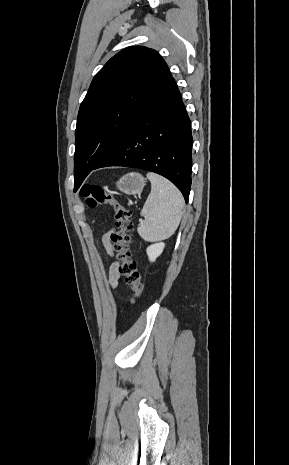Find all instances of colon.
Segmentation results:
<instances>
[{"label":"colon","mask_w":289,"mask_h":465,"mask_svg":"<svg viewBox=\"0 0 289 465\" xmlns=\"http://www.w3.org/2000/svg\"><path fill=\"white\" fill-rule=\"evenodd\" d=\"M79 194L85 199L87 208H95L102 204H109L113 207L116 230L111 233V241L120 263L119 272L132 289L129 301L131 304L135 303L142 294L143 283L137 262L132 259L130 250V231L133 227L131 211L109 191L96 184L84 185L80 189Z\"/></svg>","instance_id":"5ec220e1"}]
</instances>
